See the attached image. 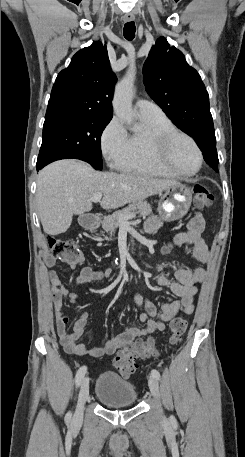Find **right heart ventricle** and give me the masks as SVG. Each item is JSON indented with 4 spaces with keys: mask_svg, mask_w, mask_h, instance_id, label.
I'll use <instances>...</instances> for the list:
<instances>
[{
    "mask_svg": "<svg viewBox=\"0 0 245 457\" xmlns=\"http://www.w3.org/2000/svg\"><path fill=\"white\" fill-rule=\"evenodd\" d=\"M146 131L142 134H133L130 136L129 145L125 153L115 159V166L124 170H134L152 174H164L151 165L143 154V138L148 130L159 129H176L175 125L164 114L156 117H142Z\"/></svg>",
    "mask_w": 245,
    "mask_h": 457,
    "instance_id": "1",
    "label": "right heart ventricle"
}]
</instances>
